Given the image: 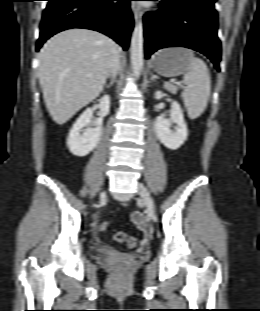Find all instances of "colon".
<instances>
[{
  "instance_id": "1",
  "label": "colon",
  "mask_w": 260,
  "mask_h": 311,
  "mask_svg": "<svg viewBox=\"0 0 260 311\" xmlns=\"http://www.w3.org/2000/svg\"><path fill=\"white\" fill-rule=\"evenodd\" d=\"M109 227L108 222H103L100 226L102 231H106ZM113 240L120 243H126L129 248H135L138 244V240L135 237L129 236L125 232L119 231L113 235Z\"/></svg>"
}]
</instances>
